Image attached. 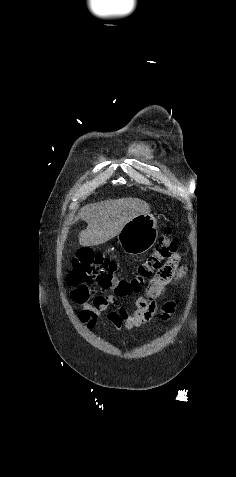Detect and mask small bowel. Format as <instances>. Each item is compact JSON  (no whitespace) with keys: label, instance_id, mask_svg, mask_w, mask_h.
I'll return each instance as SVG.
<instances>
[{"label":"small bowel","instance_id":"small-bowel-1","mask_svg":"<svg viewBox=\"0 0 236 477\" xmlns=\"http://www.w3.org/2000/svg\"><path fill=\"white\" fill-rule=\"evenodd\" d=\"M161 295L162 293L156 290L148 289L146 296L138 297L132 307L119 310H109L110 300H105V295L96 297L93 303L77 302L81 305L79 320L89 329H94L101 314L107 312V320L112 327L132 330L157 315L166 319L173 313L175 305L172 301L157 304L156 299Z\"/></svg>","mask_w":236,"mask_h":477}]
</instances>
